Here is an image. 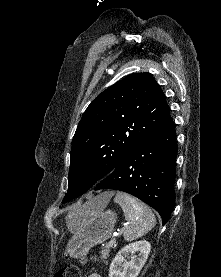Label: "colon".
I'll use <instances>...</instances> for the list:
<instances>
[{
	"mask_svg": "<svg viewBox=\"0 0 221 277\" xmlns=\"http://www.w3.org/2000/svg\"><path fill=\"white\" fill-rule=\"evenodd\" d=\"M55 277H80V268L77 265H67L60 268Z\"/></svg>",
	"mask_w": 221,
	"mask_h": 277,
	"instance_id": "colon-1",
	"label": "colon"
}]
</instances>
